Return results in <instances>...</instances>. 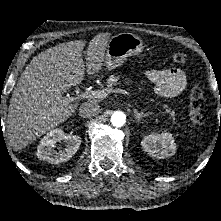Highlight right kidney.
I'll use <instances>...</instances> for the list:
<instances>
[{
	"label": "right kidney",
	"instance_id": "obj_1",
	"mask_svg": "<svg viewBox=\"0 0 221 221\" xmlns=\"http://www.w3.org/2000/svg\"><path fill=\"white\" fill-rule=\"evenodd\" d=\"M61 141L65 143V148L55 150L56 143ZM80 144L81 138L78 135L64 134L60 128H56L42 138L36 154L40 160L59 164L68 161L77 152Z\"/></svg>",
	"mask_w": 221,
	"mask_h": 221
}]
</instances>
